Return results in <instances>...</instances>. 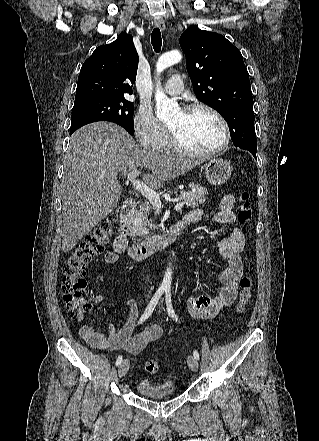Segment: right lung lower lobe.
<instances>
[{"mask_svg":"<svg viewBox=\"0 0 319 441\" xmlns=\"http://www.w3.org/2000/svg\"><path fill=\"white\" fill-rule=\"evenodd\" d=\"M77 129H70V135L74 132V131H76Z\"/></svg>","mask_w":319,"mask_h":441,"instance_id":"obj_1","label":"right lung lower lobe"}]
</instances>
